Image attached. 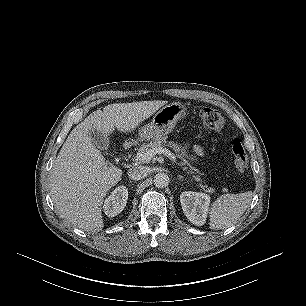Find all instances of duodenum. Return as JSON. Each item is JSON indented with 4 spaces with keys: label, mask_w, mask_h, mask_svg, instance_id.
<instances>
[{
    "label": "duodenum",
    "mask_w": 306,
    "mask_h": 306,
    "mask_svg": "<svg viewBox=\"0 0 306 306\" xmlns=\"http://www.w3.org/2000/svg\"><path fill=\"white\" fill-rule=\"evenodd\" d=\"M130 147H131V143H130V142H126V143L124 144V149H125V150H128Z\"/></svg>",
    "instance_id": "410a0bca"
}]
</instances>
